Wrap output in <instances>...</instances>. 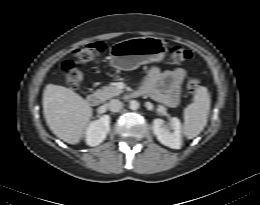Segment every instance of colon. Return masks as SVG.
Returning <instances> with one entry per match:
<instances>
[{"label":"colon","instance_id":"5ec220e1","mask_svg":"<svg viewBox=\"0 0 260 205\" xmlns=\"http://www.w3.org/2000/svg\"><path fill=\"white\" fill-rule=\"evenodd\" d=\"M104 52V45L101 42H94L81 45L73 52L72 59H66L62 63V72L67 84L71 88H78L83 80L84 74L79 69V64H88L96 60ZM170 60L173 63H182L190 59L191 53L181 45H172L169 49ZM199 88V80L189 78L187 81V90L189 93H195Z\"/></svg>","mask_w":260,"mask_h":205}]
</instances>
